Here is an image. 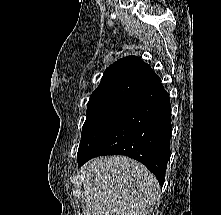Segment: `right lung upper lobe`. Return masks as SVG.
Instances as JSON below:
<instances>
[{
  "instance_id": "right-lung-upper-lobe-1",
  "label": "right lung upper lobe",
  "mask_w": 221,
  "mask_h": 215,
  "mask_svg": "<svg viewBox=\"0 0 221 215\" xmlns=\"http://www.w3.org/2000/svg\"><path fill=\"white\" fill-rule=\"evenodd\" d=\"M159 83L160 78L148 64L136 56H127L105 70L89 103L108 99L133 100Z\"/></svg>"
}]
</instances>
